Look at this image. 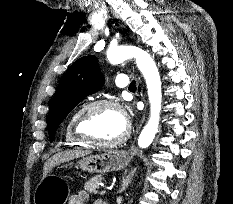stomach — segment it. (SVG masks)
Instances as JSON below:
<instances>
[{
	"label": "stomach",
	"instance_id": "0dacf381",
	"mask_svg": "<svg viewBox=\"0 0 233 204\" xmlns=\"http://www.w3.org/2000/svg\"><path fill=\"white\" fill-rule=\"evenodd\" d=\"M130 160L131 155L126 151H107L81 158L76 167L90 173H107L125 169ZM68 195L69 187L64 179L47 175L37 185L33 199L34 204H65Z\"/></svg>",
	"mask_w": 233,
	"mask_h": 204
}]
</instances>
